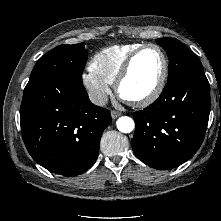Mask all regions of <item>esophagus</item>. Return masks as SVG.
I'll return each instance as SVG.
<instances>
[{"label":"esophagus","mask_w":221,"mask_h":221,"mask_svg":"<svg viewBox=\"0 0 221 221\" xmlns=\"http://www.w3.org/2000/svg\"><path fill=\"white\" fill-rule=\"evenodd\" d=\"M119 116H121V113H120V112L115 111V110L111 111V117H112V119H116V118H118Z\"/></svg>","instance_id":"1"}]
</instances>
